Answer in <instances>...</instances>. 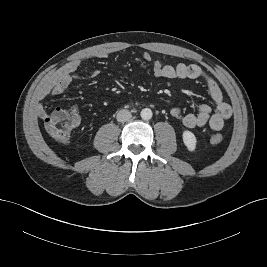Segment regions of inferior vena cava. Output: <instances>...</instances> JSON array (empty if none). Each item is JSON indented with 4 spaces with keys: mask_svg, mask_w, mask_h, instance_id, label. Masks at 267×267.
I'll use <instances>...</instances> for the list:
<instances>
[{
    "mask_svg": "<svg viewBox=\"0 0 267 267\" xmlns=\"http://www.w3.org/2000/svg\"><path fill=\"white\" fill-rule=\"evenodd\" d=\"M131 116L132 115L129 110L122 109L118 111L116 119L118 122H125V121H128L131 118Z\"/></svg>",
    "mask_w": 267,
    "mask_h": 267,
    "instance_id": "1",
    "label": "inferior vena cava"
}]
</instances>
